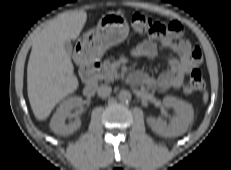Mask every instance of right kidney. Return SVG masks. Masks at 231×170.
Segmentation results:
<instances>
[{
    "label": "right kidney",
    "instance_id": "right-kidney-1",
    "mask_svg": "<svg viewBox=\"0 0 231 170\" xmlns=\"http://www.w3.org/2000/svg\"><path fill=\"white\" fill-rule=\"evenodd\" d=\"M83 100L81 97H72L64 101L53 115L50 128L55 134L68 135L77 131L81 126L80 119L66 124V119L71 117V111L75 108H81Z\"/></svg>",
    "mask_w": 231,
    "mask_h": 170
}]
</instances>
